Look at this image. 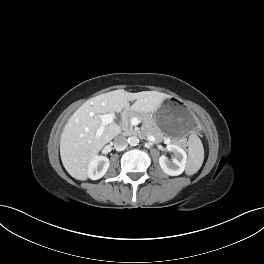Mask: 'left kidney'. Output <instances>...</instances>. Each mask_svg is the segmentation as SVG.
<instances>
[{"instance_id":"left-kidney-1","label":"left kidney","mask_w":264,"mask_h":264,"mask_svg":"<svg viewBox=\"0 0 264 264\" xmlns=\"http://www.w3.org/2000/svg\"><path fill=\"white\" fill-rule=\"evenodd\" d=\"M167 150L174 154L172 161L162 155L159 158L161 169L170 176H178L183 173L187 163V153L178 145L168 144Z\"/></svg>"}]
</instances>
